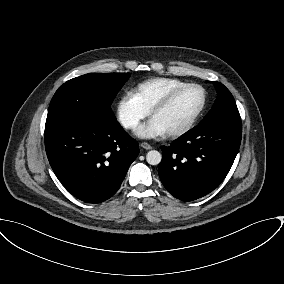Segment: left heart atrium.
Wrapping results in <instances>:
<instances>
[{
  "label": "left heart atrium",
  "instance_id": "obj_1",
  "mask_svg": "<svg viewBox=\"0 0 284 284\" xmlns=\"http://www.w3.org/2000/svg\"><path fill=\"white\" fill-rule=\"evenodd\" d=\"M136 134L141 138H154L164 135L165 131L154 119H151L148 123L140 126L137 129Z\"/></svg>",
  "mask_w": 284,
  "mask_h": 284
}]
</instances>
